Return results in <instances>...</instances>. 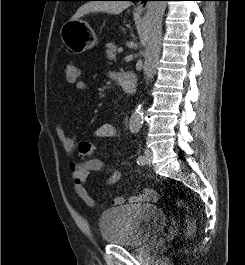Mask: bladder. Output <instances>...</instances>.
I'll list each match as a JSON object with an SVG mask.
<instances>
[{
	"label": "bladder",
	"mask_w": 245,
	"mask_h": 265,
	"mask_svg": "<svg viewBox=\"0 0 245 265\" xmlns=\"http://www.w3.org/2000/svg\"><path fill=\"white\" fill-rule=\"evenodd\" d=\"M167 221L166 213L156 205L131 204L104 210L98 229L107 244L141 247L152 241Z\"/></svg>",
	"instance_id": "bladder-1"
}]
</instances>
